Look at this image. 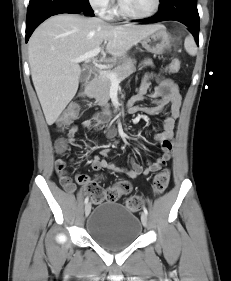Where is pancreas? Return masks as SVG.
I'll return each instance as SVG.
<instances>
[{"label": "pancreas", "mask_w": 231, "mask_h": 281, "mask_svg": "<svg viewBox=\"0 0 231 281\" xmlns=\"http://www.w3.org/2000/svg\"><path fill=\"white\" fill-rule=\"evenodd\" d=\"M134 63V60L125 58L123 59L122 63H120L113 69L107 70L106 72L116 74L117 79L119 81H122L135 71ZM111 83L112 81L106 75L100 74L93 79L88 88L89 97L95 98L99 106L105 107V111H108L109 109L108 101L110 99L109 93Z\"/></svg>", "instance_id": "obj_1"}]
</instances>
